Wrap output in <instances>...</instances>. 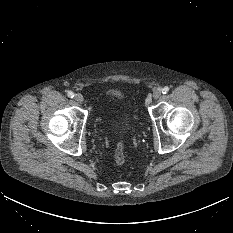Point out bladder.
Returning a JSON list of instances; mask_svg holds the SVG:
<instances>
[{"mask_svg": "<svg viewBox=\"0 0 233 233\" xmlns=\"http://www.w3.org/2000/svg\"><path fill=\"white\" fill-rule=\"evenodd\" d=\"M110 96H111V97H122V95L119 94V93H117V92H112V93L110 94Z\"/></svg>", "mask_w": 233, "mask_h": 233, "instance_id": "1", "label": "bladder"}]
</instances>
